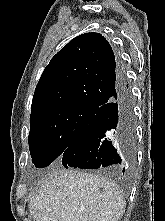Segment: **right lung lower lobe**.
<instances>
[{
  "label": "right lung lower lobe",
  "instance_id": "obj_1",
  "mask_svg": "<svg viewBox=\"0 0 165 221\" xmlns=\"http://www.w3.org/2000/svg\"><path fill=\"white\" fill-rule=\"evenodd\" d=\"M135 145L132 98L124 74L119 71L118 88L101 105L88 126L61 155L65 168L75 167L125 172Z\"/></svg>",
  "mask_w": 165,
  "mask_h": 221
}]
</instances>
